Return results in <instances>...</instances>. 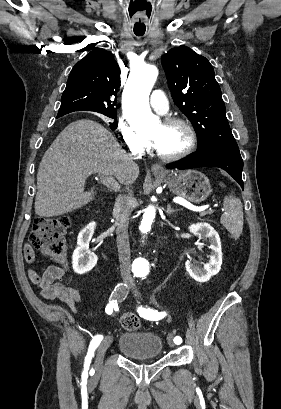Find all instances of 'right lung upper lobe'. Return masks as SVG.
<instances>
[{"label":"right lung upper lobe","mask_w":281,"mask_h":409,"mask_svg":"<svg viewBox=\"0 0 281 409\" xmlns=\"http://www.w3.org/2000/svg\"><path fill=\"white\" fill-rule=\"evenodd\" d=\"M120 69L107 50L96 48L77 62L62 94L57 117L74 111L114 112Z\"/></svg>","instance_id":"1"}]
</instances>
